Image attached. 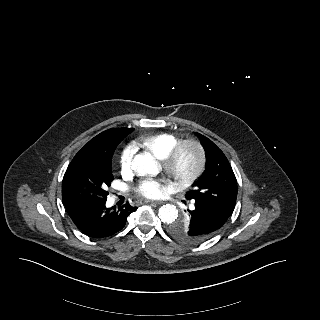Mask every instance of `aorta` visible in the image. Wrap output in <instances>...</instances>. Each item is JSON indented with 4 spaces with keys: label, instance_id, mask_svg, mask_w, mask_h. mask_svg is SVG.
Here are the masks:
<instances>
[{
    "label": "aorta",
    "instance_id": "1",
    "mask_svg": "<svg viewBox=\"0 0 320 320\" xmlns=\"http://www.w3.org/2000/svg\"><path fill=\"white\" fill-rule=\"evenodd\" d=\"M132 168L138 175H157L159 168L157 162L148 155L137 154L132 161ZM158 216L163 223L170 224L178 217V210L172 204H165L160 207Z\"/></svg>",
    "mask_w": 320,
    "mask_h": 320
}]
</instances>
